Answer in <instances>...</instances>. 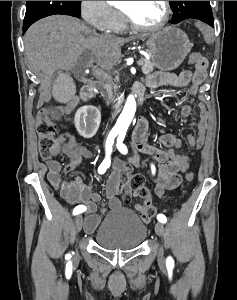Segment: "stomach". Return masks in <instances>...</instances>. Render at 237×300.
Masks as SVG:
<instances>
[{"label":"stomach","instance_id":"0dacf381","mask_svg":"<svg viewBox=\"0 0 237 300\" xmlns=\"http://www.w3.org/2000/svg\"><path fill=\"white\" fill-rule=\"evenodd\" d=\"M135 39L145 41L151 61L160 71L177 69L193 47L188 35L174 25L158 29L150 35H136Z\"/></svg>","mask_w":237,"mask_h":300}]
</instances>
